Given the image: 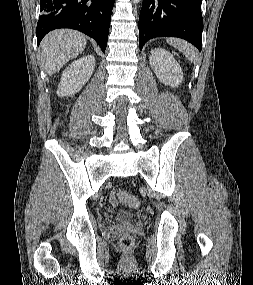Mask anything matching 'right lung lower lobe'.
Here are the masks:
<instances>
[{"label":"right lung lower lobe","instance_id":"right-lung-lower-lobe-1","mask_svg":"<svg viewBox=\"0 0 253 285\" xmlns=\"http://www.w3.org/2000/svg\"><path fill=\"white\" fill-rule=\"evenodd\" d=\"M114 0H40L37 44L50 31L72 28L95 39L105 52Z\"/></svg>","mask_w":253,"mask_h":285}]
</instances>
